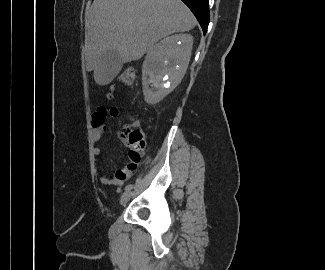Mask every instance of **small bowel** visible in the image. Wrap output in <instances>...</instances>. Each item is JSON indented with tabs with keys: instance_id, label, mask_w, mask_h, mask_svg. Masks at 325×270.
Returning <instances> with one entry per match:
<instances>
[{
	"instance_id": "1",
	"label": "small bowel",
	"mask_w": 325,
	"mask_h": 270,
	"mask_svg": "<svg viewBox=\"0 0 325 270\" xmlns=\"http://www.w3.org/2000/svg\"><path fill=\"white\" fill-rule=\"evenodd\" d=\"M119 116V109L116 106H112L109 108L106 107H99L95 113L93 118V125L91 129V140L93 142V155L94 158L97 160L101 157V149L97 145L98 142L101 140L102 134L104 132V126L102 125L106 118L115 119ZM130 151V150H129ZM128 157L130 158L129 152ZM136 168H129L127 165L125 167L119 168L114 178H110L106 175H100V181L104 185H114V186H121L123 181L128 179L134 169Z\"/></svg>"
}]
</instances>
